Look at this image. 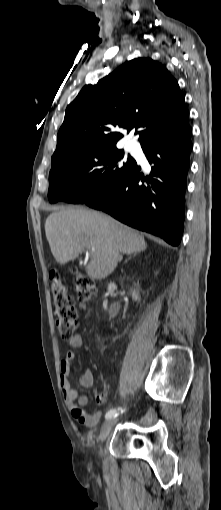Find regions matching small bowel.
<instances>
[{
	"label": "small bowel",
	"instance_id": "1",
	"mask_svg": "<svg viewBox=\"0 0 221 510\" xmlns=\"http://www.w3.org/2000/svg\"><path fill=\"white\" fill-rule=\"evenodd\" d=\"M69 346L72 350H68L66 352L64 359L60 363V383L64 401L76 421L85 426L93 427L100 422L103 413L101 411H96L94 413L86 412L82 406L87 403L88 397L86 395H80L72 387L69 380L71 364L76 358V352L74 350L80 349L83 346L82 336L80 334L72 336L69 340ZM93 383L94 376L92 371L90 369L84 370L79 378V385L83 388H89L93 385ZM102 395L104 396L105 403L108 400V397L105 394Z\"/></svg>",
	"mask_w": 221,
	"mask_h": 510
}]
</instances>
